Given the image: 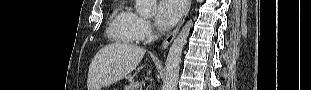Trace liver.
<instances>
[{"mask_svg": "<svg viewBox=\"0 0 311 90\" xmlns=\"http://www.w3.org/2000/svg\"><path fill=\"white\" fill-rule=\"evenodd\" d=\"M146 50L126 43H112L94 56L88 72V90H100L120 81L141 62Z\"/></svg>", "mask_w": 311, "mask_h": 90, "instance_id": "liver-1", "label": "liver"}]
</instances>
